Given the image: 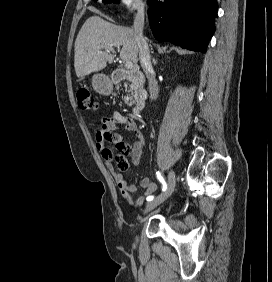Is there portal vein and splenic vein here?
<instances>
[{
	"mask_svg": "<svg viewBox=\"0 0 272 282\" xmlns=\"http://www.w3.org/2000/svg\"><path fill=\"white\" fill-rule=\"evenodd\" d=\"M101 48H105L104 46H101ZM107 51H109V52H114V50L113 49H107ZM124 66H125V68L126 69H132L133 67H134V64H133V62H131V61H126L125 63H124Z\"/></svg>",
	"mask_w": 272,
	"mask_h": 282,
	"instance_id": "1",
	"label": "portal vein and splenic vein"
}]
</instances>
